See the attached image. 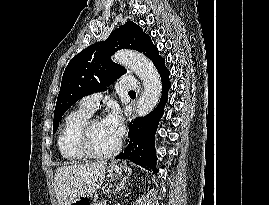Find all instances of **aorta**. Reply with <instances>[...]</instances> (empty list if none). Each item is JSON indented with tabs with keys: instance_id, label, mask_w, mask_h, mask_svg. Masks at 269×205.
<instances>
[{
	"instance_id": "762f6f07",
	"label": "aorta",
	"mask_w": 269,
	"mask_h": 205,
	"mask_svg": "<svg viewBox=\"0 0 269 205\" xmlns=\"http://www.w3.org/2000/svg\"><path fill=\"white\" fill-rule=\"evenodd\" d=\"M113 59L129 68L142 81L144 91L135 111L137 116H146L156 107L161 96L162 84L157 69L147 57L134 51H117Z\"/></svg>"
}]
</instances>
